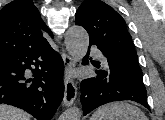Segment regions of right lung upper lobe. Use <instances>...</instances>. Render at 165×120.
Listing matches in <instances>:
<instances>
[{"instance_id": "cb5924a9", "label": "right lung upper lobe", "mask_w": 165, "mask_h": 120, "mask_svg": "<svg viewBox=\"0 0 165 120\" xmlns=\"http://www.w3.org/2000/svg\"><path fill=\"white\" fill-rule=\"evenodd\" d=\"M52 35L32 0H14L0 11V59L47 42Z\"/></svg>"}]
</instances>
